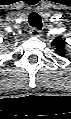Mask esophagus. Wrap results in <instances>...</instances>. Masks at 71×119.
Segmentation results:
<instances>
[{
  "mask_svg": "<svg viewBox=\"0 0 71 119\" xmlns=\"http://www.w3.org/2000/svg\"><path fill=\"white\" fill-rule=\"evenodd\" d=\"M29 33H30V36L32 37H40L42 35L41 30L36 28L31 29Z\"/></svg>",
  "mask_w": 71,
  "mask_h": 119,
  "instance_id": "obj_1",
  "label": "esophagus"
}]
</instances>
